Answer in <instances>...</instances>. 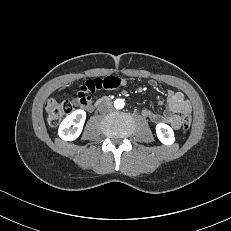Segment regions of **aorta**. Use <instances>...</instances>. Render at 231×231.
<instances>
[{"label":"aorta","instance_id":"aorta-1","mask_svg":"<svg viewBox=\"0 0 231 231\" xmlns=\"http://www.w3.org/2000/svg\"><path fill=\"white\" fill-rule=\"evenodd\" d=\"M124 105H125V103H124V101L122 99H116L114 101V107L116 109H122L124 107Z\"/></svg>","mask_w":231,"mask_h":231}]
</instances>
